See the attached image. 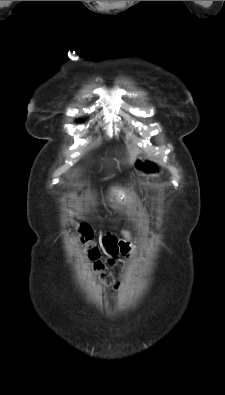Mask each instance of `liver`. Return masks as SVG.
I'll list each match as a JSON object with an SVG mask.
<instances>
[{
	"label": "liver",
	"mask_w": 225,
	"mask_h": 395,
	"mask_svg": "<svg viewBox=\"0 0 225 395\" xmlns=\"http://www.w3.org/2000/svg\"><path fill=\"white\" fill-rule=\"evenodd\" d=\"M135 159H136V152H132L131 154H130V163H133L134 161H135Z\"/></svg>",
	"instance_id": "1"
}]
</instances>
